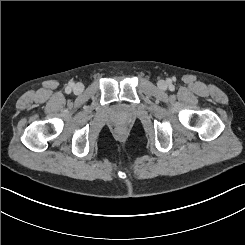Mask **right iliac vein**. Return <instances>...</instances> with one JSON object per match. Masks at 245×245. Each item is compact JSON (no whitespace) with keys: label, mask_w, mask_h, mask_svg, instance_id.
<instances>
[{"label":"right iliac vein","mask_w":245,"mask_h":245,"mask_svg":"<svg viewBox=\"0 0 245 245\" xmlns=\"http://www.w3.org/2000/svg\"><path fill=\"white\" fill-rule=\"evenodd\" d=\"M83 89H84L83 84H82V83H77V84L74 86V88H73V92H74L75 94H80V93L83 91Z\"/></svg>","instance_id":"obj_1"}]
</instances>
